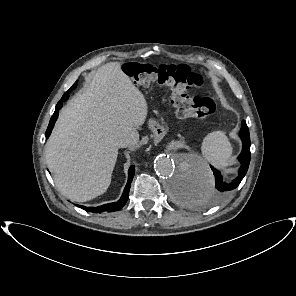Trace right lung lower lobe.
<instances>
[{
    "label": "right lung lower lobe",
    "instance_id": "98d812e1",
    "mask_svg": "<svg viewBox=\"0 0 296 296\" xmlns=\"http://www.w3.org/2000/svg\"><path fill=\"white\" fill-rule=\"evenodd\" d=\"M75 88H76V83L67 92L64 93L62 99L57 103L55 112H54V114L52 115V117L50 119L47 131H46V134H45L46 138H48L49 135L51 134L54 123H55V121L57 120V117H58V111L62 107V102L66 101L68 99L69 92L72 91ZM134 171H135L134 166H131L129 168V171H128V181H127L126 187L124 189V192H123L121 198L117 202L104 204V205L98 206V207H85V206H79V207H81L85 211L96 212V213H105V212H113V211L120 210L128 200L130 184H131L133 176H134Z\"/></svg>",
    "mask_w": 296,
    "mask_h": 296
}]
</instances>
